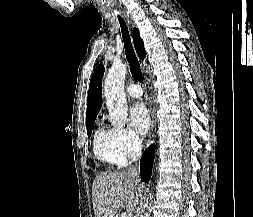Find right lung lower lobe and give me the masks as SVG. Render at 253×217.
Returning <instances> with one entry per match:
<instances>
[{
	"label": "right lung lower lobe",
	"instance_id": "98d812e1",
	"mask_svg": "<svg viewBox=\"0 0 253 217\" xmlns=\"http://www.w3.org/2000/svg\"><path fill=\"white\" fill-rule=\"evenodd\" d=\"M155 157V146L152 145L142 155L140 163L141 180L147 183L150 180L152 174V166Z\"/></svg>",
	"mask_w": 253,
	"mask_h": 217
}]
</instances>
